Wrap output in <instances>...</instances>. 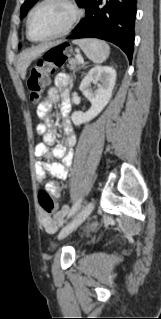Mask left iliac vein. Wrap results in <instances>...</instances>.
Here are the masks:
<instances>
[{
	"mask_svg": "<svg viewBox=\"0 0 161 319\" xmlns=\"http://www.w3.org/2000/svg\"><path fill=\"white\" fill-rule=\"evenodd\" d=\"M94 208V203L89 202L72 220L69 222L59 233L58 237L60 239L69 235L74 231L79 225H81L91 214Z\"/></svg>",
	"mask_w": 161,
	"mask_h": 319,
	"instance_id": "left-iliac-vein-1",
	"label": "left iliac vein"
}]
</instances>
